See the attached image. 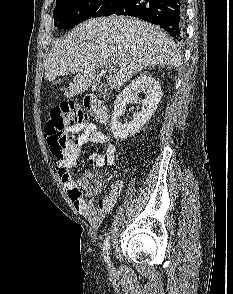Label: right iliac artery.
<instances>
[{
    "mask_svg": "<svg viewBox=\"0 0 233 294\" xmlns=\"http://www.w3.org/2000/svg\"><path fill=\"white\" fill-rule=\"evenodd\" d=\"M110 236L107 234V237L104 241V245H103V256H104V260L108 265V268H110V264H109V249H110Z\"/></svg>",
    "mask_w": 233,
    "mask_h": 294,
    "instance_id": "right-iliac-artery-1",
    "label": "right iliac artery"
}]
</instances>
